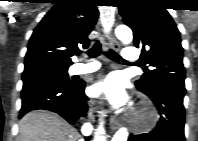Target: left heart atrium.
I'll return each instance as SVG.
<instances>
[{
    "instance_id": "obj_1",
    "label": "left heart atrium",
    "mask_w": 198,
    "mask_h": 141,
    "mask_svg": "<svg viewBox=\"0 0 198 141\" xmlns=\"http://www.w3.org/2000/svg\"><path fill=\"white\" fill-rule=\"evenodd\" d=\"M93 95H103L113 106H122L127 101L122 79L116 75H110L103 81L92 87Z\"/></svg>"
}]
</instances>
